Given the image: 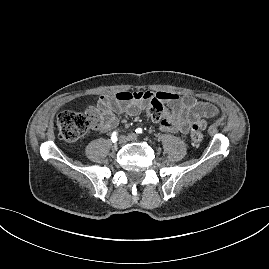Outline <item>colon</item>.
I'll return each instance as SVG.
<instances>
[{"label":"colon","instance_id":"colon-1","mask_svg":"<svg viewBox=\"0 0 269 269\" xmlns=\"http://www.w3.org/2000/svg\"><path fill=\"white\" fill-rule=\"evenodd\" d=\"M146 113L152 119H160L168 115L163 101L157 97L153 98L146 107ZM91 125H95V121L88 113L82 114L67 110L59 113L56 117L58 135L66 142L77 141L88 131ZM190 139L196 146L204 141L203 128L199 124H194L191 127Z\"/></svg>","mask_w":269,"mask_h":269}]
</instances>
